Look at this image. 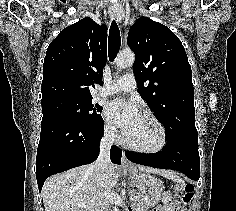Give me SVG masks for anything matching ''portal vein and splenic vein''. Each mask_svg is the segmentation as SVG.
I'll list each match as a JSON object with an SVG mask.
<instances>
[{
    "label": "portal vein and splenic vein",
    "mask_w": 236,
    "mask_h": 211,
    "mask_svg": "<svg viewBox=\"0 0 236 211\" xmlns=\"http://www.w3.org/2000/svg\"><path fill=\"white\" fill-rule=\"evenodd\" d=\"M130 201H133V198H132V197H130Z\"/></svg>",
    "instance_id": "18ae733b"
}]
</instances>
